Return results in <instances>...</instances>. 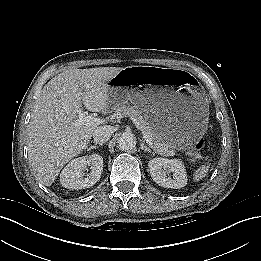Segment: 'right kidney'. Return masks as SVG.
Here are the masks:
<instances>
[{
  "mask_svg": "<svg viewBox=\"0 0 261 261\" xmlns=\"http://www.w3.org/2000/svg\"><path fill=\"white\" fill-rule=\"evenodd\" d=\"M87 165L91 166V172L85 175ZM103 171V158L98 154L83 156L69 162L60 174V182L68 189H84L93 186L99 181Z\"/></svg>",
  "mask_w": 261,
  "mask_h": 261,
  "instance_id": "ca27d5eb",
  "label": "right kidney"
}]
</instances>
